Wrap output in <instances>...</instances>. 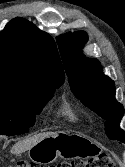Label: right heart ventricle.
Returning <instances> with one entry per match:
<instances>
[{"mask_svg": "<svg viewBox=\"0 0 125 167\" xmlns=\"http://www.w3.org/2000/svg\"><path fill=\"white\" fill-rule=\"evenodd\" d=\"M59 115L64 117L65 119H67L70 122H76L77 121V115L75 113V111L72 109V107L70 105H64L63 107H61V109L59 110Z\"/></svg>", "mask_w": 125, "mask_h": 167, "instance_id": "obj_1", "label": "right heart ventricle"}]
</instances>
